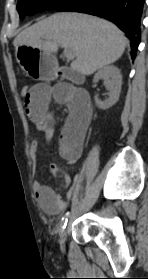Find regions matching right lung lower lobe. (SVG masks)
<instances>
[{"instance_id":"98d812e1","label":"right lung lower lobe","mask_w":148,"mask_h":279,"mask_svg":"<svg viewBox=\"0 0 148 279\" xmlns=\"http://www.w3.org/2000/svg\"><path fill=\"white\" fill-rule=\"evenodd\" d=\"M143 6L144 0H77L56 10L88 13L114 22L130 39L134 60L140 42Z\"/></svg>"}]
</instances>
